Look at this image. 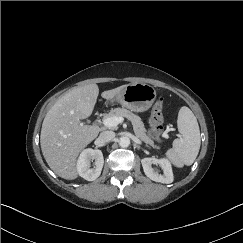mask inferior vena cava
<instances>
[{"label":"inferior vena cava","instance_id":"1","mask_svg":"<svg viewBox=\"0 0 243 243\" xmlns=\"http://www.w3.org/2000/svg\"><path fill=\"white\" fill-rule=\"evenodd\" d=\"M99 138L102 142L108 143L115 138V132L103 131V132L100 133Z\"/></svg>","mask_w":243,"mask_h":243}]
</instances>
